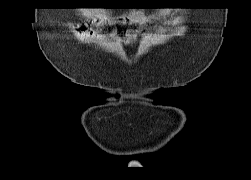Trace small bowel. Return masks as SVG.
<instances>
[{"instance_id": "c3829d8e", "label": "small bowel", "mask_w": 251, "mask_h": 180, "mask_svg": "<svg viewBox=\"0 0 251 180\" xmlns=\"http://www.w3.org/2000/svg\"><path fill=\"white\" fill-rule=\"evenodd\" d=\"M155 17L152 15H148L143 11H131L127 12L121 16H114L110 14H101V18L99 19L100 24H111L114 22H120L125 24H139L143 25L150 21H152ZM128 41L133 42L137 38L136 31L129 30L126 33L125 37Z\"/></svg>"}]
</instances>
